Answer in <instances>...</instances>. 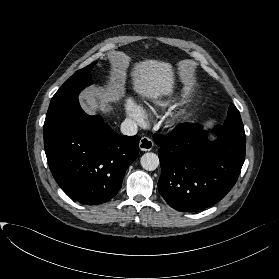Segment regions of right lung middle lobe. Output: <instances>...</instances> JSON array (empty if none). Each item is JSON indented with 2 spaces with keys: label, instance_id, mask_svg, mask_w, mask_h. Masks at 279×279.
I'll use <instances>...</instances> for the list:
<instances>
[{
  "label": "right lung middle lobe",
  "instance_id": "obj_1",
  "mask_svg": "<svg viewBox=\"0 0 279 279\" xmlns=\"http://www.w3.org/2000/svg\"><path fill=\"white\" fill-rule=\"evenodd\" d=\"M95 63L74 73L53 96L45 122L56 118L78 100L79 92L91 84L90 71Z\"/></svg>",
  "mask_w": 279,
  "mask_h": 279
}]
</instances>
